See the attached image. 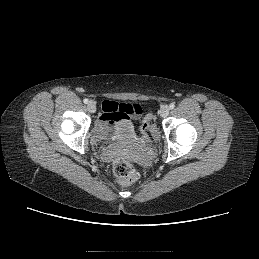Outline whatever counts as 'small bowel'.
Returning a JSON list of instances; mask_svg holds the SVG:
<instances>
[{
	"instance_id": "obj_1",
	"label": "small bowel",
	"mask_w": 259,
	"mask_h": 259,
	"mask_svg": "<svg viewBox=\"0 0 259 259\" xmlns=\"http://www.w3.org/2000/svg\"><path fill=\"white\" fill-rule=\"evenodd\" d=\"M141 114L142 108L139 104H124L105 100L102 103V113L99 116L98 131L103 134L115 127H123L130 131L131 121L139 119Z\"/></svg>"
}]
</instances>
